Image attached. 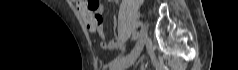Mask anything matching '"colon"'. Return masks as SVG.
Listing matches in <instances>:
<instances>
[{"instance_id": "5ec220e1", "label": "colon", "mask_w": 238, "mask_h": 70, "mask_svg": "<svg viewBox=\"0 0 238 70\" xmlns=\"http://www.w3.org/2000/svg\"><path fill=\"white\" fill-rule=\"evenodd\" d=\"M92 1V5H95L98 1L96 0H91Z\"/></svg>"}]
</instances>
